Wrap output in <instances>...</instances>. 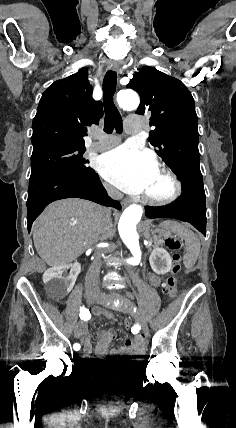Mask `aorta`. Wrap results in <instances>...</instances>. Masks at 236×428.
Instances as JSON below:
<instances>
[{
	"label": "aorta",
	"mask_w": 236,
	"mask_h": 428,
	"mask_svg": "<svg viewBox=\"0 0 236 428\" xmlns=\"http://www.w3.org/2000/svg\"><path fill=\"white\" fill-rule=\"evenodd\" d=\"M117 102L125 110H135L139 106V96L133 90H122L117 94ZM143 214V208L140 205L133 204L126 208L119 220V235L131 252V257L124 261L132 266L139 265L142 258V251L139 244V234L137 233V224Z\"/></svg>",
	"instance_id": "aorta-1"
}]
</instances>
